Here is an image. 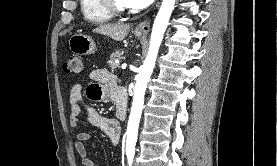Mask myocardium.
<instances>
[{
  "label": "myocardium",
  "mask_w": 277,
  "mask_h": 166,
  "mask_svg": "<svg viewBox=\"0 0 277 166\" xmlns=\"http://www.w3.org/2000/svg\"><path fill=\"white\" fill-rule=\"evenodd\" d=\"M103 6L113 15L120 16L127 12L124 5L120 4L117 0H100Z\"/></svg>",
  "instance_id": "1"
}]
</instances>
